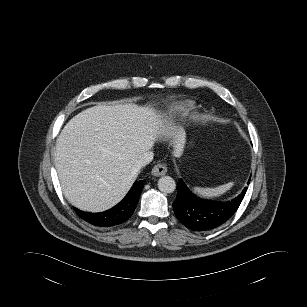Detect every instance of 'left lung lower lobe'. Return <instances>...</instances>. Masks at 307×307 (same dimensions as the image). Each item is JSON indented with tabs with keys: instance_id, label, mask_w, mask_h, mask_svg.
<instances>
[{
	"instance_id": "1",
	"label": "left lung lower lobe",
	"mask_w": 307,
	"mask_h": 307,
	"mask_svg": "<svg viewBox=\"0 0 307 307\" xmlns=\"http://www.w3.org/2000/svg\"><path fill=\"white\" fill-rule=\"evenodd\" d=\"M250 179L247 184H249ZM247 187L236 198L226 202L203 200L187 188L182 179L177 184L173 209L178 220L193 231H207L225 223L240 206Z\"/></svg>"
}]
</instances>
